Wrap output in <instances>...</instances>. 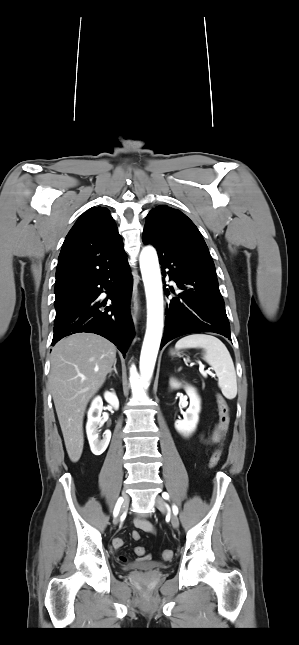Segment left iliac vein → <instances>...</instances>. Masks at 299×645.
<instances>
[{
  "label": "left iliac vein",
  "instance_id": "left-iliac-vein-1",
  "mask_svg": "<svg viewBox=\"0 0 299 645\" xmlns=\"http://www.w3.org/2000/svg\"><path fill=\"white\" fill-rule=\"evenodd\" d=\"M155 506L163 513L167 512V507L165 504L164 499L161 496H156L155 498ZM170 520L172 526L177 529L179 527V519L176 514L171 513L170 514Z\"/></svg>",
  "mask_w": 299,
  "mask_h": 645
}]
</instances>
